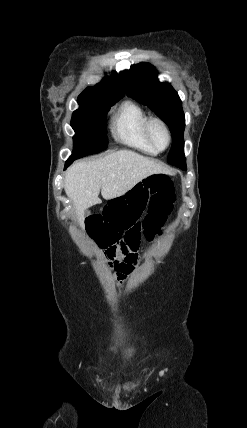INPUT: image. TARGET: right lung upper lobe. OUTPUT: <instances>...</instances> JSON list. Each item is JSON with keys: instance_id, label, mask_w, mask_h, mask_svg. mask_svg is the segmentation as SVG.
<instances>
[{"instance_id": "cb5924a9", "label": "right lung upper lobe", "mask_w": 247, "mask_h": 428, "mask_svg": "<svg viewBox=\"0 0 247 428\" xmlns=\"http://www.w3.org/2000/svg\"><path fill=\"white\" fill-rule=\"evenodd\" d=\"M124 89L120 77L112 72L109 82L104 79L94 87H87L79 97L94 98L104 103H116L123 97Z\"/></svg>"}]
</instances>
